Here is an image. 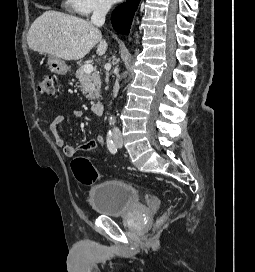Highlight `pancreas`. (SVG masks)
I'll list each match as a JSON object with an SVG mask.
<instances>
[{
  "label": "pancreas",
  "mask_w": 255,
  "mask_h": 272,
  "mask_svg": "<svg viewBox=\"0 0 255 272\" xmlns=\"http://www.w3.org/2000/svg\"><path fill=\"white\" fill-rule=\"evenodd\" d=\"M84 66H80L76 71V78L80 82L82 93L89 100H95L100 96L101 80L99 72L92 71L91 73L84 72Z\"/></svg>",
  "instance_id": "obj_1"
}]
</instances>
